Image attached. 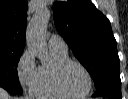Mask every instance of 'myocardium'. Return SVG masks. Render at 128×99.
I'll use <instances>...</instances> for the list:
<instances>
[{
	"label": "myocardium",
	"instance_id": "myocardium-1",
	"mask_svg": "<svg viewBox=\"0 0 128 99\" xmlns=\"http://www.w3.org/2000/svg\"><path fill=\"white\" fill-rule=\"evenodd\" d=\"M70 65L79 66L87 76L88 87L85 90V92H83L82 94H79V95L71 94L65 89L63 85L62 77H63L64 71ZM55 84L59 92L62 93L65 97L72 98V99H81V98H85L86 96L90 94L92 90V86H93V79H92L91 73L89 72V70L83 63H81L80 61L74 60V59H67L63 61L62 63H60L55 69Z\"/></svg>",
	"mask_w": 128,
	"mask_h": 99
}]
</instances>
